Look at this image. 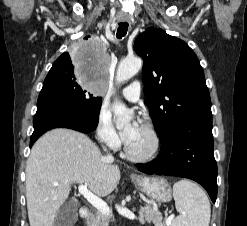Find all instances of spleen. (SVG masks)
<instances>
[{
    "label": "spleen",
    "instance_id": "1",
    "mask_svg": "<svg viewBox=\"0 0 247 226\" xmlns=\"http://www.w3.org/2000/svg\"><path fill=\"white\" fill-rule=\"evenodd\" d=\"M173 197L180 215L172 226H209L210 202L200 187L187 180L178 181L173 185Z\"/></svg>",
    "mask_w": 247,
    "mask_h": 226
}]
</instances>
